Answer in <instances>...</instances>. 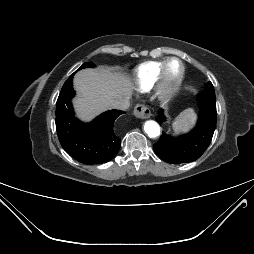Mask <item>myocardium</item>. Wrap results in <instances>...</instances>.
<instances>
[{"mask_svg": "<svg viewBox=\"0 0 254 254\" xmlns=\"http://www.w3.org/2000/svg\"><path fill=\"white\" fill-rule=\"evenodd\" d=\"M177 62L180 66L179 73L175 79L168 78V68L171 63ZM185 77V66L179 58H169L167 59L160 69L158 81L156 84V92L158 97L163 101H168L172 99L181 88Z\"/></svg>", "mask_w": 254, "mask_h": 254, "instance_id": "f54148a6", "label": "myocardium"}]
</instances>
